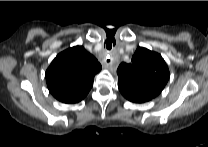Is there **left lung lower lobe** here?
I'll return each instance as SVG.
<instances>
[{
    "label": "left lung lower lobe",
    "instance_id": "obj_1",
    "mask_svg": "<svg viewBox=\"0 0 208 147\" xmlns=\"http://www.w3.org/2000/svg\"><path fill=\"white\" fill-rule=\"evenodd\" d=\"M120 91L126 99L135 103H142V102L151 100L147 96L136 93V92H130V91H125V90H120Z\"/></svg>",
    "mask_w": 208,
    "mask_h": 147
}]
</instances>
